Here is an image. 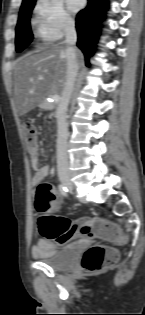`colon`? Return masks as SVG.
<instances>
[{
	"mask_svg": "<svg viewBox=\"0 0 145 315\" xmlns=\"http://www.w3.org/2000/svg\"><path fill=\"white\" fill-rule=\"evenodd\" d=\"M26 147L29 151L37 150L35 126L25 122L22 126ZM58 196L51 183H42L36 191L35 206L40 214L39 230L50 240L61 243L81 236L91 239L120 240L118 227L103 218L86 217L74 222L55 214ZM118 258L117 252L103 245H92L83 253L81 266L85 271L95 272L112 266Z\"/></svg>",
	"mask_w": 145,
	"mask_h": 315,
	"instance_id": "obj_1",
	"label": "colon"
}]
</instances>
